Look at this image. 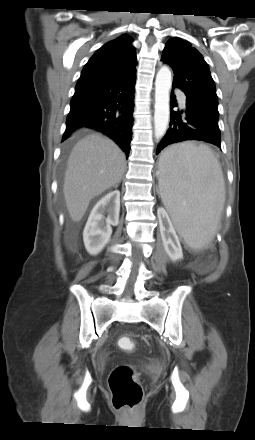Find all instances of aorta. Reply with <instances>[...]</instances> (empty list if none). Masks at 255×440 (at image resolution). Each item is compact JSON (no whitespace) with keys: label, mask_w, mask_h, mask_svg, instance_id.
I'll return each instance as SVG.
<instances>
[{"label":"aorta","mask_w":255,"mask_h":440,"mask_svg":"<svg viewBox=\"0 0 255 440\" xmlns=\"http://www.w3.org/2000/svg\"><path fill=\"white\" fill-rule=\"evenodd\" d=\"M171 85V71L168 67L163 66L158 71L155 80L154 135L157 139H161L167 131Z\"/></svg>","instance_id":"1"}]
</instances>
